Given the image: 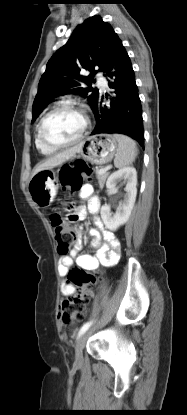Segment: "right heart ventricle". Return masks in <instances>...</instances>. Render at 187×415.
Here are the masks:
<instances>
[{"label":"right heart ventricle","mask_w":187,"mask_h":415,"mask_svg":"<svg viewBox=\"0 0 187 415\" xmlns=\"http://www.w3.org/2000/svg\"><path fill=\"white\" fill-rule=\"evenodd\" d=\"M35 145L37 149L40 151V153H42L43 155H52L57 151V149L49 148L41 142L38 136V128L35 136Z\"/></svg>","instance_id":"right-heart-ventricle-1"}]
</instances>
